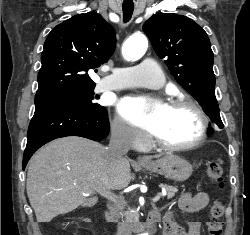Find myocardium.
<instances>
[{
	"label": "myocardium",
	"mask_w": 250,
	"mask_h": 235,
	"mask_svg": "<svg viewBox=\"0 0 250 235\" xmlns=\"http://www.w3.org/2000/svg\"><path fill=\"white\" fill-rule=\"evenodd\" d=\"M166 107H169V108L188 107L192 109L196 113L198 120H199V130H198L197 136L188 143L169 144V143L162 141L157 135L152 133L151 139L153 143L157 145L160 149L169 151V152L190 150L199 146L206 138L207 130H208L207 115L204 109L199 105V103L189 97H178L169 101L166 104Z\"/></svg>",
	"instance_id": "1"
}]
</instances>
